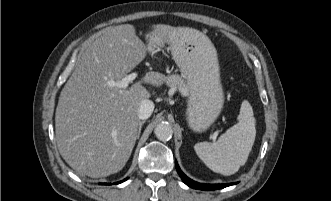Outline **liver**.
<instances>
[{"label": "liver", "instance_id": "6515ba94", "mask_svg": "<svg viewBox=\"0 0 331 201\" xmlns=\"http://www.w3.org/2000/svg\"><path fill=\"white\" fill-rule=\"evenodd\" d=\"M156 52L178 28L151 27ZM147 48L133 25L103 29L82 51L63 87L55 113L58 150L77 173L92 178L119 172L127 163L138 135V108L151 94L142 82L160 86L166 77L148 72L122 89L111 86L146 57Z\"/></svg>", "mask_w": 331, "mask_h": 201}]
</instances>
